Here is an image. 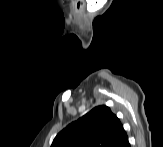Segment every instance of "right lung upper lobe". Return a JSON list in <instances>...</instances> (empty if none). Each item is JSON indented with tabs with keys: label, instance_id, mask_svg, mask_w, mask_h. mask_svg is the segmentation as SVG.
Segmentation results:
<instances>
[{
	"label": "right lung upper lobe",
	"instance_id": "cb5924a9",
	"mask_svg": "<svg viewBox=\"0 0 163 147\" xmlns=\"http://www.w3.org/2000/svg\"><path fill=\"white\" fill-rule=\"evenodd\" d=\"M124 135L117 116L101 105L60 131L51 147H113Z\"/></svg>",
	"mask_w": 163,
	"mask_h": 147
}]
</instances>
